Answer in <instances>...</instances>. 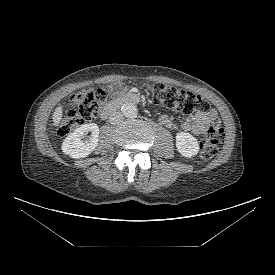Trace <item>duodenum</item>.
Returning a JSON list of instances; mask_svg holds the SVG:
<instances>
[{
    "instance_id": "obj_1",
    "label": "duodenum",
    "mask_w": 275,
    "mask_h": 275,
    "mask_svg": "<svg viewBox=\"0 0 275 275\" xmlns=\"http://www.w3.org/2000/svg\"><path fill=\"white\" fill-rule=\"evenodd\" d=\"M139 100H140L139 96L134 93H127L125 95H122L117 99L109 102L104 107L101 113V119L106 120L107 118H109L118 109L120 105L125 103H138Z\"/></svg>"
}]
</instances>
